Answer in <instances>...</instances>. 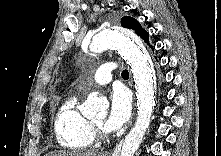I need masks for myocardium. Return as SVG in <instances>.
<instances>
[{"mask_svg":"<svg viewBox=\"0 0 221 156\" xmlns=\"http://www.w3.org/2000/svg\"><path fill=\"white\" fill-rule=\"evenodd\" d=\"M92 126H93V130H94V136H97L99 138H104L105 137V134L102 131L101 125H99L95 122H92Z\"/></svg>","mask_w":221,"mask_h":156,"instance_id":"1","label":"myocardium"}]
</instances>
